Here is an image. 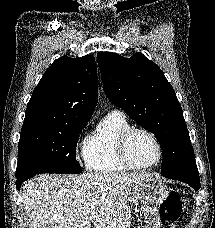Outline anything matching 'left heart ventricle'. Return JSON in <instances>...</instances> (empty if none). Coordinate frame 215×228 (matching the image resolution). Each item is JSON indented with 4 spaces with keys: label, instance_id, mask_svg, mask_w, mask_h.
Instances as JSON below:
<instances>
[{
    "label": "left heart ventricle",
    "instance_id": "b2bd125f",
    "mask_svg": "<svg viewBox=\"0 0 215 228\" xmlns=\"http://www.w3.org/2000/svg\"><path fill=\"white\" fill-rule=\"evenodd\" d=\"M130 161L136 166L153 163L157 158V150L153 141L144 133H135L128 144Z\"/></svg>",
    "mask_w": 215,
    "mask_h": 228
}]
</instances>
